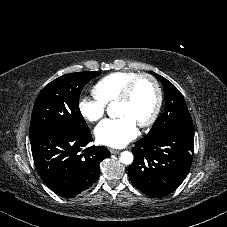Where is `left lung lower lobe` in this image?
Wrapping results in <instances>:
<instances>
[{
    "label": "left lung lower lobe",
    "instance_id": "1",
    "mask_svg": "<svg viewBox=\"0 0 227 227\" xmlns=\"http://www.w3.org/2000/svg\"><path fill=\"white\" fill-rule=\"evenodd\" d=\"M134 161L129 167L132 184L151 197L175 191L188 174L194 154V131L140 139L132 148Z\"/></svg>",
    "mask_w": 227,
    "mask_h": 227
}]
</instances>
